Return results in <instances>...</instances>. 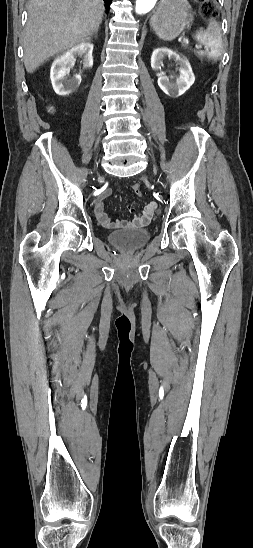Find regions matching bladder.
Masks as SVG:
<instances>
[{
	"instance_id": "obj_1",
	"label": "bladder",
	"mask_w": 253,
	"mask_h": 548,
	"mask_svg": "<svg viewBox=\"0 0 253 548\" xmlns=\"http://www.w3.org/2000/svg\"><path fill=\"white\" fill-rule=\"evenodd\" d=\"M150 238V232L147 229H123L109 233V242L123 249H136L144 245Z\"/></svg>"
}]
</instances>
